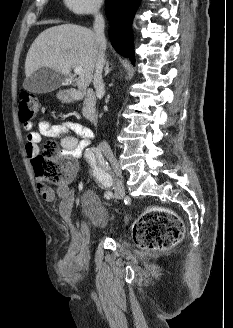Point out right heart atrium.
Instances as JSON below:
<instances>
[{
	"label": "right heart atrium",
	"mask_w": 233,
	"mask_h": 328,
	"mask_svg": "<svg viewBox=\"0 0 233 328\" xmlns=\"http://www.w3.org/2000/svg\"><path fill=\"white\" fill-rule=\"evenodd\" d=\"M64 3L73 13L88 15L97 13L103 0H64Z\"/></svg>",
	"instance_id": "obj_1"
}]
</instances>
